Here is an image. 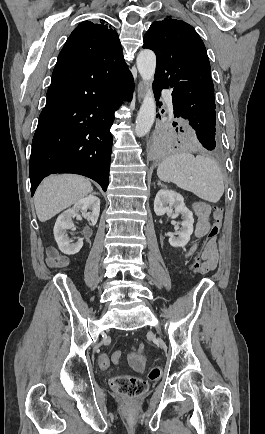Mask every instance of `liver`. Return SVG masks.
Segmentation results:
<instances>
[{"instance_id": "6515ba94", "label": "liver", "mask_w": 265, "mask_h": 434, "mask_svg": "<svg viewBox=\"0 0 265 434\" xmlns=\"http://www.w3.org/2000/svg\"><path fill=\"white\" fill-rule=\"evenodd\" d=\"M90 192H93L91 182L83 176L62 174V176L45 178L38 186L34 196L38 220L47 222Z\"/></svg>"}]
</instances>
